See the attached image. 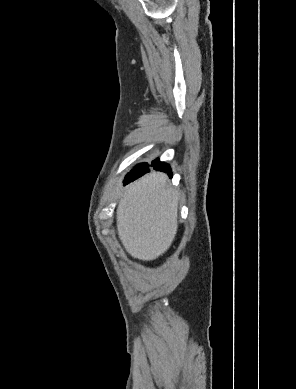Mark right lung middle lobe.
<instances>
[{"mask_svg":"<svg viewBox=\"0 0 296 389\" xmlns=\"http://www.w3.org/2000/svg\"><path fill=\"white\" fill-rule=\"evenodd\" d=\"M147 166H148L147 163H143V164L138 165L137 167H138V168H145V167H147Z\"/></svg>","mask_w":296,"mask_h":389,"instance_id":"obj_1","label":"right lung middle lobe"}]
</instances>
